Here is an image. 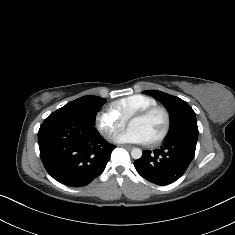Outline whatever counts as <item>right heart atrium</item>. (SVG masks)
<instances>
[{"label": "right heart atrium", "instance_id": "right-heart-atrium-1", "mask_svg": "<svg viewBox=\"0 0 235 235\" xmlns=\"http://www.w3.org/2000/svg\"><path fill=\"white\" fill-rule=\"evenodd\" d=\"M93 122L97 131L105 138H109L115 131L123 129L127 120L108 105L94 115Z\"/></svg>", "mask_w": 235, "mask_h": 235}]
</instances>
